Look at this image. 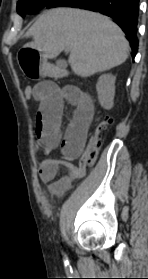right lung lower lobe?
<instances>
[{"instance_id": "obj_1", "label": "right lung lower lobe", "mask_w": 148, "mask_h": 279, "mask_svg": "<svg viewBox=\"0 0 148 279\" xmlns=\"http://www.w3.org/2000/svg\"><path fill=\"white\" fill-rule=\"evenodd\" d=\"M75 7L100 12L115 20L127 35L134 58L138 50L139 0H52L46 8Z\"/></svg>"}]
</instances>
